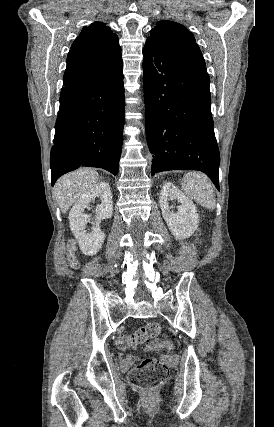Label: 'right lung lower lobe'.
Here are the masks:
<instances>
[{"label":"right lung lower lobe","instance_id":"98d812e1","mask_svg":"<svg viewBox=\"0 0 274 427\" xmlns=\"http://www.w3.org/2000/svg\"><path fill=\"white\" fill-rule=\"evenodd\" d=\"M124 99L122 63L98 77L62 88L50 155L52 185L81 166L118 173Z\"/></svg>","mask_w":274,"mask_h":427}]
</instances>
